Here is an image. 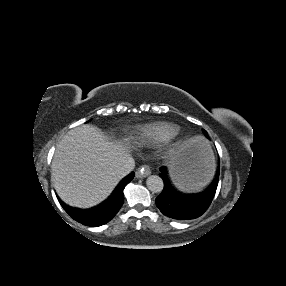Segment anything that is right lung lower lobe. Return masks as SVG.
<instances>
[{"mask_svg": "<svg viewBox=\"0 0 286 286\" xmlns=\"http://www.w3.org/2000/svg\"><path fill=\"white\" fill-rule=\"evenodd\" d=\"M133 178L134 172L130 173L119 183L115 191L106 201L92 210H75L65 206L60 200L59 202L64 210L79 223L90 227L101 226L109 222L119 211L124 202L123 190Z\"/></svg>", "mask_w": 286, "mask_h": 286, "instance_id": "right-lung-lower-lobe-1", "label": "right lung lower lobe"}]
</instances>
